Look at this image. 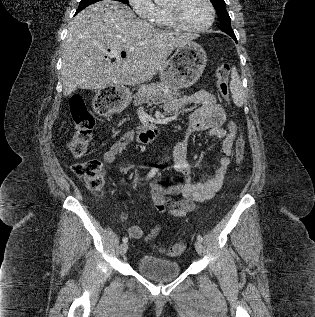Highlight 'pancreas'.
<instances>
[{
  "instance_id": "obj_1",
  "label": "pancreas",
  "mask_w": 315,
  "mask_h": 317,
  "mask_svg": "<svg viewBox=\"0 0 315 317\" xmlns=\"http://www.w3.org/2000/svg\"><path fill=\"white\" fill-rule=\"evenodd\" d=\"M181 94L182 92H180L178 88L169 89L163 84H151L138 89L137 93L134 95L133 103L135 106L149 101L165 103Z\"/></svg>"
}]
</instances>
